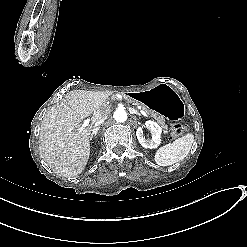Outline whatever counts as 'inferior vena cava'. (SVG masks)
<instances>
[{"instance_id":"1","label":"inferior vena cava","mask_w":247,"mask_h":247,"mask_svg":"<svg viewBox=\"0 0 247 247\" xmlns=\"http://www.w3.org/2000/svg\"><path fill=\"white\" fill-rule=\"evenodd\" d=\"M105 120H106V116L101 117L98 121H96L94 124V129L100 126Z\"/></svg>"}]
</instances>
